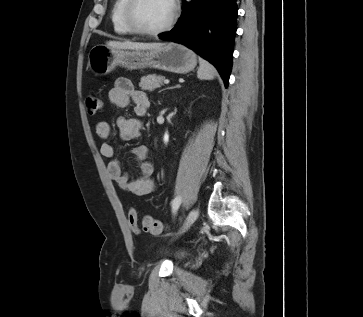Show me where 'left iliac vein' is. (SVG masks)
Here are the masks:
<instances>
[{"instance_id": "4c4485c4", "label": "left iliac vein", "mask_w": 363, "mask_h": 317, "mask_svg": "<svg viewBox=\"0 0 363 317\" xmlns=\"http://www.w3.org/2000/svg\"><path fill=\"white\" fill-rule=\"evenodd\" d=\"M199 216V210L198 209H193L189 212L188 217L186 219V221L184 222L180 233H183L184 231H186L198 218Z\"/></svg>"}]
</instances>
